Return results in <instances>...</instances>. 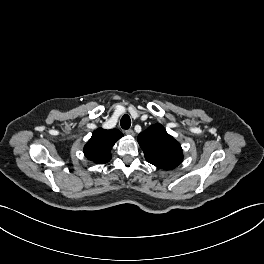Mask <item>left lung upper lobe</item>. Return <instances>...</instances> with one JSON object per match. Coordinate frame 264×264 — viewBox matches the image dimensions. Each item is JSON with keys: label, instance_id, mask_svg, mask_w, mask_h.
<instances>
[{"label": "left lung upper lobe", "instance_id": "5c2ea615", "mask_svg": "<svg viewBox=\"0 0 264 264\" xmlns=\"http://www.w3.org/2000/svg\"><path fill=\"white\" fill-rule=\"evenodd\" d=\"M138 142L146 160L154 166L171 170L183 160L182 148L161 124H155L141 132Z\"/></svg>", "mask_w": 264, "mask_h": 264}]
</instances>
